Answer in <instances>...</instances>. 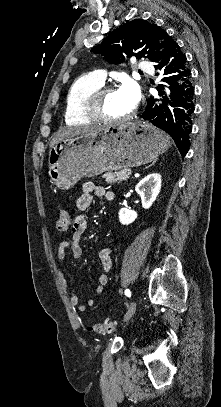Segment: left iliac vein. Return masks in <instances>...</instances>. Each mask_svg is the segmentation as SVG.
<instances>
[{
	"mask_svg": "<svg viewBox=\"0 0 221 407\" xmlns=\"http://www.w3.org/2000/svg\"><path fill=\"white\" fill-rule=\"evenodd\" d=\"M135 311H136V302L132 301L128 307V311L126 313L124 321H128L134 315Z\"/></svg>",
	"mask_w": 221,
	"mask_h": 407,
	"instance_id": "left-iliac-vein-1",
	"label": "left iliac vein"
}]
</instances>
